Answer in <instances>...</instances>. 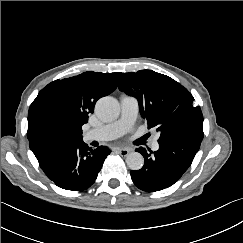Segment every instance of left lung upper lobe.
<instances>
[{"instance_id": "1", "label": "left lung upper lobe", "mask_w": 243, "mask_h": 243, "mask_svg": "<svg viewBox=\"0 0 243 243\" xmlns=\"http://www.w3.org/2000/svg\"><path fill=\"white\" fill-rule=\"evenodd\" d=\"M119 90L134 96L148 129L160 132L159 142L188 131L203 132V115L192 94L172 78L152 70L123 73Z\"/></svg>"}]
</instances>
